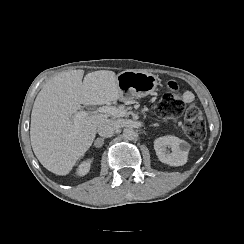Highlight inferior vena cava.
<instances>
[{"label":"inferior vena cava","mask_w":244,"mask_h":244,"mask_svg":"<svg viewBox=\"0 0 244 244\" xmlns=\"http://www.w3.org/2000/svg\"><path fill=\"white\" fill-rule=\"evenodd\" d=\"M117 123L112 119H106L98 125V133L104 137H110L116 133Z\"/></svg>","instance_id":"inferior-vena-cava-1"}]
</instances>
